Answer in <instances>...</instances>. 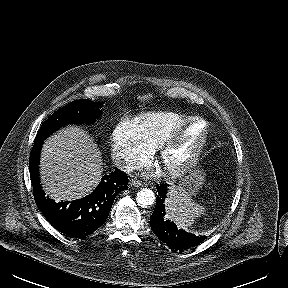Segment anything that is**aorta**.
Instances as JSON below:
<instances>
[{"label":"aorta","mask_w":288,"mask_h":288,"mask_svg":"<svg viewBox=\"0 0 288 288\" xmlns=\"http://www.w3.org/2000/svg\"><path fill=\"white\" fill-rule=\"evenodd\" d=\"M155 194L148 188H143L136 195L137 204L143 208H147L155 202Z\"/></svg>","instance_id":"762f6f07"}]
</instances>
